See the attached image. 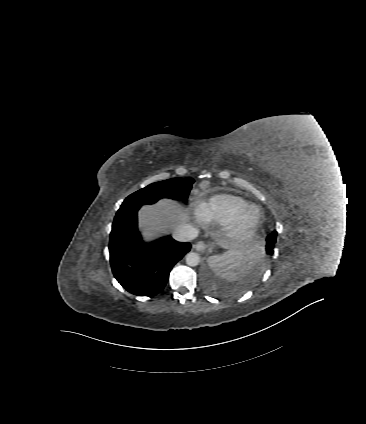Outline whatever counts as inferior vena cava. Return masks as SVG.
Segmentation results:
<instances>
[{
    "label": "inferior vena cava",
    "instance_id": "1",
    "mask_svg": "<svg viewBox=\"0 0 366 424\" xmlns=\"http://www.w3.org/2000/svg\"><path fill=\"white\" fill-rule=\"evenodd\" d=\"M174 238L180 242H189L198 236V230L191 224H184L175 229Z\"/></svg>",
    "mask_w": 366,
    "mask_h": 424
}]
</instances>
